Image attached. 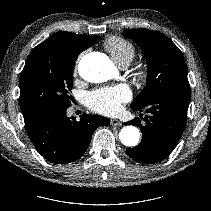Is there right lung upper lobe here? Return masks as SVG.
Here are the masks:
<instances>
[{"label":"right lung upper lobe","mask_w":211,"mask_h":211,"mask_svg":"<svg viewBox=\"0 0 211 211\" xmlns=\"http://www.w3.org/2000/svg\"><path fill=\"white\" fill-rule=\"evenodd\" d=\"M99 36H83L69 32H58L41 44L48 46L55 54L64 57L77 56L93 45Z\"/></svg>","instance_id":"cb5924a9"}]
</instances>
